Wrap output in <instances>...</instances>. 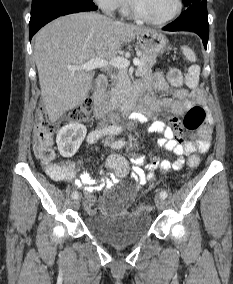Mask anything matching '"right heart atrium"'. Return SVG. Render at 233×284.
Returning a JSON list of instances; mask_svg holds the SVG:
<instances>
[{
	"label": "right heart atrium",
	"instance_id": "1",
	"mask_svg": "<svg viewBox=\"0 0 233 284\" xmlns=\"http://www.w3.org/2000/svg\"><path fill=\"white\" fill-rule=\"evenodd\" d=\"M106 12H114L121 8L126 0H94Z\"/></svg>",
	"mask_w": 233,
	"mask_h": 284
}]
</instances>
